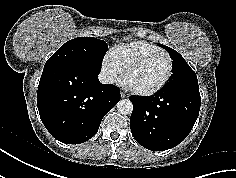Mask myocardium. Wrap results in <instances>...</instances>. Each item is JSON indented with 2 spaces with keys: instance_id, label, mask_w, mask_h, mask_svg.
Returning <instances> with one entry per match:
<instances>
[{
  "instance_id": "obj_1",
  "label": "myocardium",
  "mask_w": 236,
  "mask_h": 178,
  "mask_svg": "<svg viewBox=\"0 0 236 178\" xmlns=\"http://www.w3.org/2000/svg\"><path fill=\"white\" fill-rule=\"evenodd\" d=\"M158 55H164L169 60V69H168V72H167L166 76L164 77V79L159 84H157L156 86L149 88V89H138V88L131 86L127 82L129 75L137 67H139L142 63H144L148 59L158 56ZM173 70H174V61L169 53H167L165 51L152 52L147 55L136 58L134 61H132L130 64H128V66L124 69L123 74H122V83H123V86L132 94L139 95V96H149V95H152V94L158 92L159 90H161L168 83V81L172 77Z\"/></svg>"
}]
</instances>
